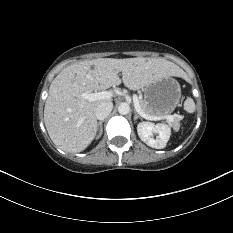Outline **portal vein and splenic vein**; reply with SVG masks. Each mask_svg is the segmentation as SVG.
Segmentation results:
<instances>
[{"label": "portal vein and splenic vein", "mask_w": 233, "mask_h": 233, "mask_svg": "<svg viewBox=\"0 0 233 233\" xmlns=\"http://www.w3.org/2000/svg\"><path fill=\"white\" fill-rule=\"evenodd\" d=\"M112 96H113V93L110 91H101V92L82 93L81 94V97L83 99H86L90 102L96 101V100L111 99ZM133 102H134V107H135L136 111L145 119H148V120L165 119L170 123H172L174 121V117L172 115L150 116V115L145 114L139 105V99H138L137 95H133Z\"/></svg>", "instance_id": "obj_1"}]
</instances>
